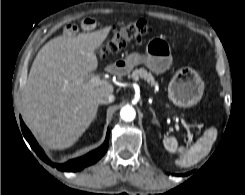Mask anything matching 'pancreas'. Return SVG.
I'll list each match as a JSON object with an SVG mask.
<instances>
[{
	"label": "pancreas",
	"instance_id": "obj_1",
	"mask_svg": "<svg viewBox=\"0 0 245 195\" xmlns=\"http://www.w3.org/2000/svg\"><path fill=\"white\" fill-rule=\"evenodd\" d=\"M129 77L138 80L139 78H143L147 83L151 86H156L157 82L154 80V77L150 72H147L144 68L135 69Z\"/></svg>",
	"mask_w": 245,
	"mask_h": 195
}]
</instances>
